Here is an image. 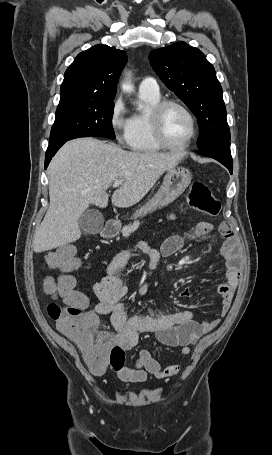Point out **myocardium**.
<instances>
[{"mask_svg": "<svg viewBox=\"0 0 272 455\" xmlns=\"http://www.w3.org/2000/svg\"><path fill=\"white\" fill-rule=\"evenodd\" d=\"M178 107L180 108L188 117L191 126V132L188 139L180 144V145H173L169 143L164 135L163 131V117L165 111L169 107ZM150 126L152 135L156 143L164 149L171 150V151H182L188 148L194 139L197 136V121L193 114V112L182 102L174 99H165L159 101L151 110L150 112Z\"/></svg>", "mask_w": 272, "mask_h": 455, "instance_id": "1", "label": "myocardium"}]
</instances>
